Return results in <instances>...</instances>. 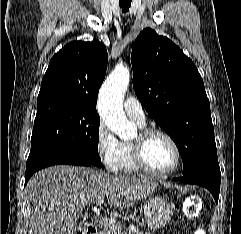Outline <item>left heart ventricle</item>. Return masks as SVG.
Instances as JSON below:
<instances>
[{
  "label": "left heart ventricle",
  "instance_id": "obj_1",
  "mask_svg": "<svg viewBox=\"0 0 241 234\" xmlns=\"http://www.w3.org/2000/svg\"><path fill=\"white\" fill-rule=\"evenodd\" d=\"M139 134L134 140L138 138ZM148 165L158 171L171 168L175 162V151L171 143L161 135L151 136L145 146Z\"/></svg>",
  "mask_w": 241,
  "mask_h": 234
}]
</instances>
